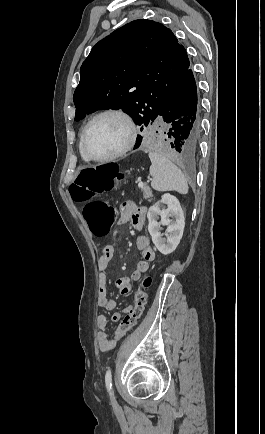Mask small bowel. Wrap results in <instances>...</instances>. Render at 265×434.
<instances>
[{
    "label": "small bowel",
    "mask_w": 265,
    "mask_h": 434,
    "mask_svg": "<svg viewBox=\"0 0 265 434\" xmlns=\"http://www.w3.org/2000/svg\"><path fill=\"white\" fill-rule=\"evenodd\" d=\"M121 215L118 226H123L130 223L133 228L138 232L136 237V246L141 252L142 259L137 263L135 269L131 274L132 280H138L142 274L149 270V263L155 258V251L150 244L149 238L142 233V229L146 220V210L143 207L137 206L132 201H125L120 207ZM115 254V248L112 245H106L103 248L102 254L98 260L99 280H98V306L104 310L112 311L116 307V302L109 297L108 287L109 280L106 274L110 262ZM116 287L122 295H127L131 291L130 280L125 277H120L116 280ZM134 307L126 305L123 307L122 312L125 314L130 313ZM122 318L120 312L111 314L110 319L113 322H118ZM108 319L106 315L99 314L96 317V325L98 327L97 342L100 351L107 352L116 347L110 343V338L106 332Z\"/></svg>",
    "instance_id": "c3829d8e"
}]
</instances>
